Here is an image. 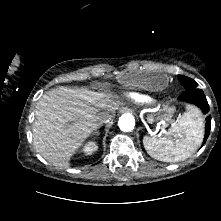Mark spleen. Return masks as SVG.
I'll list each match as a JSON object with an SVG mask.
<instances>
[{"label": "spleen", "instance_id": "obj_1", "mask_svg": "<svg viewBox=\"0 0 221 221\" xmlns=\"http://www.w3.org/2000/svg\"><path fill=\"white\" fill-rule=\"evenodd\" d=\"M204 137V119L197 107L188 105L186 112L160 138H143L147 153L160 161L178 162L192 155Z\"/></svg>", "mask_w": 221, "mask_h": 221}]
</instances>
